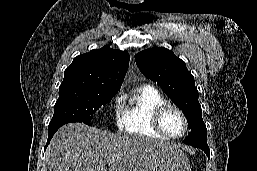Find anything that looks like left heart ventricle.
Wrapping results in <instances>:
<instances>
[{
	"mask_svg": "<svg viewBox=\"0 0 257 171\" xmlns=\"http://www.w3.org/2000/svg\"><path fill=\"white\" fill-rule=\"evenodd\" d=\"M162 124L165 130L172 136H178L184 130L183 120L175 110H169L165 113Z\"/></svg>",
	"mask_w": 257,
	"mask_h": 171,
	"instance_id": "b2bd125f",
	"label": "left heart ventricle"
}]
</instances>
